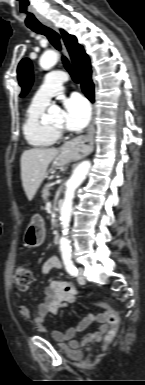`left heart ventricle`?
Segmentation results:
<instances>
[{
    "label": "left heart ventricle",
    "mask_w": 145,
    "mask_h": 385,
    "mask_svg": "<svg viewBox=\"0 0 145 385\" xmlns=\"http://www.w3.org/2000/svg\"><path fill=\"white\" fill-rule=\"evenodd\" d=\"M64 123V118L60 117L57 121H55L52 125L55 127H62Z\"/></svg>",
    "instance_id": "1"
}]
</instances>
